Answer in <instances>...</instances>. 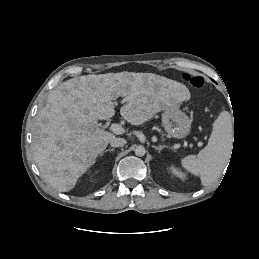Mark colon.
<instances>
[{"instance_id": "1", "label": "colon", "mask_w": 259, "mask_h": 259, "mask_svg": "<svg viewBox=\"0 0 259 259\" xmlns=\"http://www.w3.org/2000/svg\"><path fill=\"white\" fill-rule=\"evenodd\" d=\"M182 78L194 88H201L204 84V80L200 76H193L188 73H183Z\"/></svg>"}]
</instances>
